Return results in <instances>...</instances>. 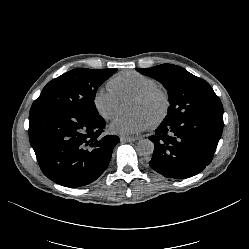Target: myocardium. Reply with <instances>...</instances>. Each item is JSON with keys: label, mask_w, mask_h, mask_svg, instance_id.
<instances>
[{"label": "myocardium", "mask_w": 249, "mask_h": 249, "mask_svg": "<svg viewBox=\"0 0 249 249\" xmlns=\"http://www.w3.org/2000/svg\"><path fill=\"white\" fill-rule=\"evenodd\" d=\"M133 99L142 101V102H149L154 99H159L161 102V110L158 116L149 123L151 129H156L161 126L166 118L168 117L171 109V100L170 96L166 90L156 86L150 89H147L144 92L136 94L133 96Z\"/></svg>", "instance_id": "obj_1"}]
</instances>
